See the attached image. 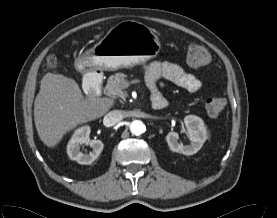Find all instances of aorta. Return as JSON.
Wrapping results in <instances>:
<instances>
[{
  "label": "aorta",
  "instance_id": "obj_1",
  "mask_svg": "<svg viewBox=\"0 0 277 218\" xmlns=\"http://www.w3.org/2000/svg\"><path fill=\"white\" fill-rule=\"evenodd\" d=\"M130 130L133 134L140 135L145 131V125L141 121L135 120L131 123Z\"/></svg>",
  "mask_w": 277,
  "mask_h": 218
}]
</instances>
